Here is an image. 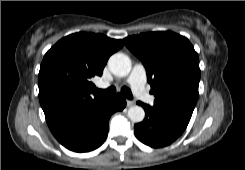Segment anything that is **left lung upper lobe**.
Returning <instances> with one entry per match:
<instances>
[{"instance_id":"left-lung-upper-lobe-1","label":"left lung upper lobe","mask_w":245,"mask_h":170,"mask_svg":"<svg viewBox=\"0 0 245 170\" xmlns=\"http://www.w3.org/2000/svg\"><path fill=\"white\" fill-rule=\"evenodd\" d=\"M123 41L145 66L154 103L192 113L198 98L200 69L189 40L165 31L129 36Z\"/></svg>"}]
</instances>
